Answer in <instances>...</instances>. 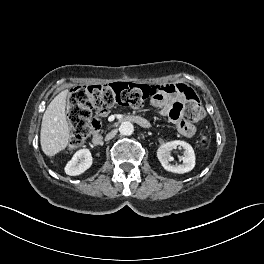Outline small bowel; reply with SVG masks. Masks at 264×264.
<instances>
[{"label": "small bowel", "instance_id": "1", "mask_svg": "<svg viewBox=\"0 0 264 264\" xmlns=\"http://www.w3.org/2000/svg\"><path fill=\"white\" fill-rule=\"evenodd\" d=\"M182 96L177 92L164 94L160 98L153 99L152 105L157 108L159 116L168 117L177 127L178 132L185 137H192L195 134V126L182 120L181 114ZM106 112L99 116H105Z\"/></svg>", "mask_w": 264, "mask_h": 264}]
</instances>
